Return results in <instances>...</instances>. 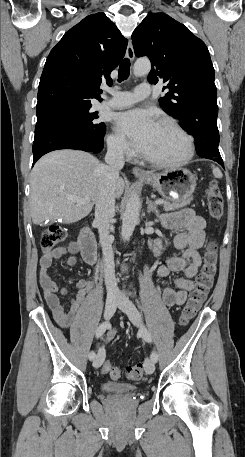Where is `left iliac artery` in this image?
I'll return each instance as SVG.
<instances>
[{"label":"left iliac artery","mask_w":245,"mask_h":457,"mask_svg":"<svg viewBox=\"0 0 245 457\" xmlns=\"http://www.w3.org/2000/svg\"><path fill=\"white\" fill-rule=\"evenodd\" d=\"M137 303L139 304V301L137 300ZM139 307L141 308L140 304H139ZM141 334H142V337L143 339L146 341V342H151L152 341V337L150 335V333L147 331L146 328H144L142 331H141ZM151 359L156 362L158 360V354L156 351H153L151 353Z\"/></svg>","instance_id":"left-iliac-artery-1"}]
</instances>
